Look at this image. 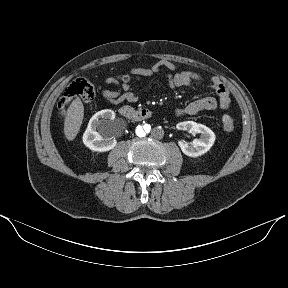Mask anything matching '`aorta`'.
I'll list each match as a JSON object with an SVG mask.
<instances>
[{
  "instance_id": "obj_1",
  "label": "aorta",
  "mask_w": 288,
  "mask_h": 288,
  "mask_svg": "<svg viewBox=\"0 0 288 288\" xmlns=\"http://www.w3.org/2000/svg\"><path fill=\"white\" fill-rule=\"evenodd\" d=\"M150 131H151V126L147 122H142V123L138 124L136 127V132L140 136H145V135L149 134Z\"/></svg>"
}]
</instances>
